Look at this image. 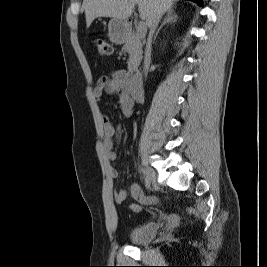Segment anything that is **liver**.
<instances>
[{
    "mask_svg": "<svg viewBox=\"0 0 267 267\" xmlns=\"http://www.w3.org/2000/svg\"><path fill=\"white\" fill-rule=\"evenodd\" d=\"M175 0H84L82 9L85 11L86 25L89 27L98 17L128 19L138 5L140 18L148 27L153 18L172 9Z\"/></svg>",
    "mask_w": 267,
    "mask_h": 267,
    "instance_id": "liver-1",
    "label": "liver"
}]
</instances>
